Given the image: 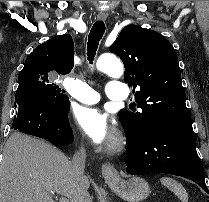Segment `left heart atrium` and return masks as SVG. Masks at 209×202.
Segmentation results:
<instances>
[{"mask_svg": "<svg viewBox=\"0 0 209 202\" xmlns=\"http://www.w3.org/2000/svg\"><path fill=\"white\" fill-rule=\"evenodd\" d=\"M74 118L84 135L95 144H102L114 132L109 117L97 107L81 106L76 109Z\"/></svg>", "mask_w": 209, "mask_h": 202, "instance_id": "39dd6f15", "label": "left heart atrium"}]
</instances>
